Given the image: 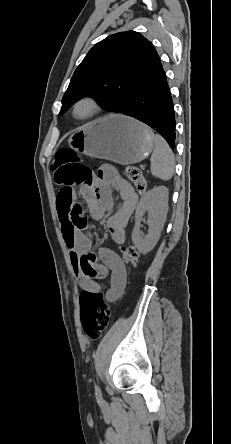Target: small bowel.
<instances>
[{
    "label": "small bowel",
    "mask_w": 231,
    "mask_h": 444,
    "mask_svg": "<svg viewBox=\"0 0 231 444\" xmlns=\"http://www.w3.org/2000/svg\"><path fill=\"white\" fill-rule=\"evenodd\" d=\"M120 196L119 207H114L113 192ZM89 211L94 219H106V226L112 239L122 244L126 239V228L137 203V194L118 171L103 165L96 176L82 187ZM76 191L63 186L57 196L58 216L61 231L70 251L71 261L83 290L99 292L98 280L110 278L111 288L107 293L110 301L116 300L124 291L127 270L123 259L113 250L93 251L92 240L75 225L74 208L77 206ZM100 259L102 261H100Z\"/></svg>",
    "instance_id": "1"
}]
</instances>
